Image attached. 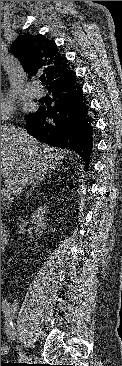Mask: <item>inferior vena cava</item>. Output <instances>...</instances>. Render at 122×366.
<instances>
[{
	"label": "inferior vena cava",
	"mask_w": 122,
	"mask_h": 366,
	"mask_svg": "<svg viewBox=\"0 0 122 366\" xmlns=\"http://www.w3.org/2000/svg\"><path fill=\"white\" fill-rule=\"evenodd\" d=\"M22 192V189L20 188L19 191H18V195H20Z\"/></svg>",
	"instance_id": "602c4592"
}]
</instances>
